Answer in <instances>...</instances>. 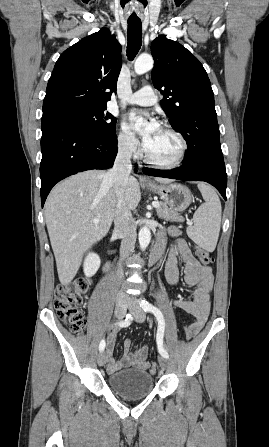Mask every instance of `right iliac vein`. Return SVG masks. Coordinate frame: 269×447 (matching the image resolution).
I'll return each mask as SVG.
<instances>
[{"label": "right iliac vein", "mask_w": 269, "mask_h": 447, "mask_svg": "<svg viewBox=\"0 0 269 447\" xmlns=\"http://www.w3.org/2000/svg\"><path fill=\"white\" fill-rule=\"evenodd\" d=\"M127 303L126 300L123 298H118L116 300V306H115V316L118 319H123L126 313ZM108 359V353L107 351H101L98 355L97 362L99 366H103Z\"/></svg>", "instance_id": "1"}]
</instances>
